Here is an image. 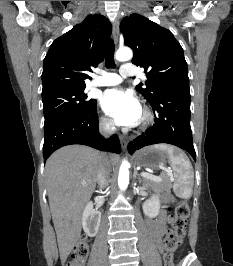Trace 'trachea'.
Wrapping results in <instances>:
<instances>
[{
    "instance_id": "1",
    "label": "trachea",
    "mask_w": 233,
    "mask_h": 266,
    "mask_svg": "<svg viewBox=\"0 0 233 266\" xmlns=\"http://www.w3.org/2000/svg\"><path fill=\"white\" fill-rule=\"evenodd\" d=\"M114 42L112 39L109 40L107 44L106 54H105V64L106 68H114L115 62H114Z\"/></svg>"
}]
</instances>
